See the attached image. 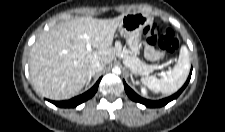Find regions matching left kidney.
I'll return each instance as SVG.
<instances>
[{"instance_id":"1","label":"left kidney","mask_w":225,"mask_h":132,"mask_svg":"<svg viewBox=\"0 0 225 132\" xmlns=\"http://www.w3.org/2000/svg\"><path fill=\"white\" fill-rule=\"evenodd\" d=\"M140 91L143 96H147V90L145 87H141Z\"/></svg>"}]
</instances>
